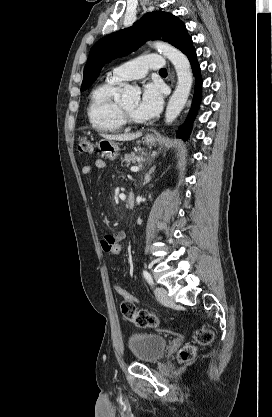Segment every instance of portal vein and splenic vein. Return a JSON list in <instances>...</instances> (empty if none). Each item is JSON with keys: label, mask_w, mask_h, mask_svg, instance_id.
<instances>
[{"label": "portal vein and splenic vein", "mask_w": 272, "mask_h": 417, "mask_svg": "<svg viewBox=\"0 0 272 417\" xmlns=\"http://www.w3.org/2000/svg\"><path fill=\"white\" fill-rule=\"evenodd\" d=\"M130 170L132 172H137V171H139V167L133 166V167L130 168Z\"/></svg>", "instance_id": "portal-vein-and-splenic-vein-1"}]
</instances>
